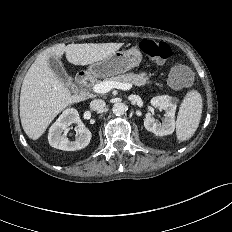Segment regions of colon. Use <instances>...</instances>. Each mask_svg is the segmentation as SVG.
Here are the masks:
<instances>
[{
	"label": "colon",
	"mask_w": 232,
	"mask_h": 232,
	"mask_svg": "<svg viewBox=\"0 0 232 232\" xmlns=\"http://www.w3.org/2000/svg\"><path fill=\"white\" fill-rule=\"evenodd\" d=\"M141 50L155 61H165L172 55V49L165 42L143 40L140 44ZM193 75L189 68L183 64H175L169 74V82L173 87L181 88L192 83Z\"/></svg>",
	"instance_id": "5ec220e1"
}]
</instances>
